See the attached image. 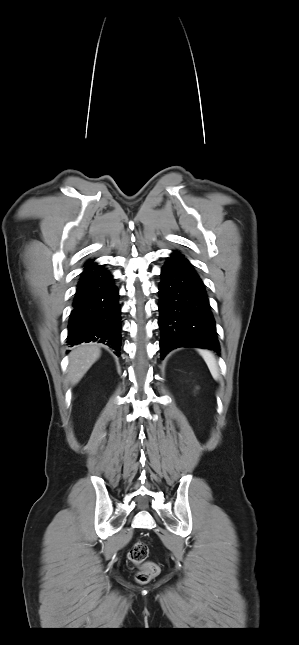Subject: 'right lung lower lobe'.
I'll use <instances>...</instances> for the list:
<instances>
[{
	"instance_id": "right-lung-lower-lobe-1",
	"label": "right lung lower lobe",
	"mask_w": 299,
	"mask_h": 645,
	"mask_svg": "<svg viewBox=\"0 0 299 645\" xmlns=\"http://www.w3.org/2000/svg\"><path fill=\"white\" fill-rule=\"evenodd\" d=\"M89 261L80 275L68 325L69 345L97 342L120 355L121 307L110 272Z\"/></svg>"
}]
</instances>
